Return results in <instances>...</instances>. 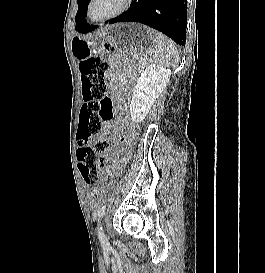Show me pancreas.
Segmentation results:
<instances>
[{
  "label": "pancreas",
  "instance_id": "obj_1",
  "mask_svg": "<svg viewBox=\"0 0 265 273\" xmlns=\"http://www.w3.org/2000/svg\"><path fill=\"white\" fill-rule=\"evenodd\" d=\"M139 62H141L142 64L144 63L143 61H139Z\"/></svg>",
  "mask_w": 265,
  "mask_h": 273
}]
</instances>
